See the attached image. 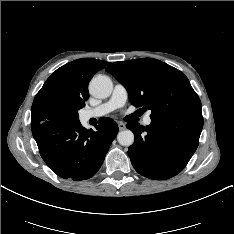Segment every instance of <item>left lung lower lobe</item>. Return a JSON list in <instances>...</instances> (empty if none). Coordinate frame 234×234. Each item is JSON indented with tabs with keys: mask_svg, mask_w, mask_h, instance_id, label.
<instances>
[{
	"mask_svg": "<svg viewBox=\"0 0 234 234\" xmlns=\"http://www.w3.org/2000/svg\"><path fill=\"white\" fill-rule=\"evenodd\" d=\"M135 136L128 149L135 170L150 179L164 180L181 172L199 144L202 114L152 120L146 127L126 125Z\"/></svg>",
	"mask_w": 234,
	"mask_h": 234,
	"instance_id": "1",
	"label": "left lung lower lobe"
}]
</instances>
